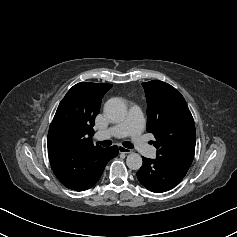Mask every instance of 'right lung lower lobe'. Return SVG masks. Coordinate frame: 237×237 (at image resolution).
Segmentation results:
<instances>
[{"instance_id":"98d812e1","label":"right lung lower lobe","mask_w":237,"mask_h":237,"mask_svg":"<svg viewBox=\"0 0 237 237\" xmlns=\"http://www.w3.org/2000/svg\"><path fill=\"white\" fill-rule=\"evenodd\" d=\"M51 168L57 179L67 188L84 191L100 178L106 164L118 154L116 145L76 153L56 146H48Z\"/></svg>"}]
</instances>
